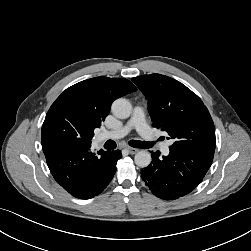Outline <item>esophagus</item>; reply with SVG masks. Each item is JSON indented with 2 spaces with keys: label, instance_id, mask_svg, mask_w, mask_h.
<instances>
[{
  "label": "esophagus",
  "instance_id": "34e87169",
  "mask_svg": "<svg viewBox=\"0 0 251 251\" xmlns=\"http://www.w3.org/2000/svg\"><path fill=\"white\" fill-rule=\"evenodd\" d=\"M126 150H127L130 154H135V153L138 152V149L132 148V147H126Z\"/></svg>",
  "mask_w": 251,
  "mask_h": 251
}]
</instances>
